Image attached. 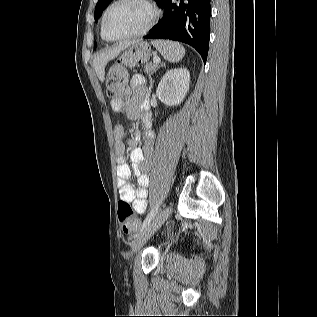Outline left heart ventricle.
<instances>
[{"label":"left heart ventricle","mask_w":317,"mask_h":317,"mask_svg":"<svg viewBox=\"0 0 317 317\" xmlns=\"http://www.w3.org/2000/svg\"><path fill=\"white\" fill-rule=\"evenodd\" d=\"M149 9L137 0H124L108 14L105 30L110 38H118L142 29L149 20Z\"/></svg>","instance_id":"obj_1"}]
</instances>
